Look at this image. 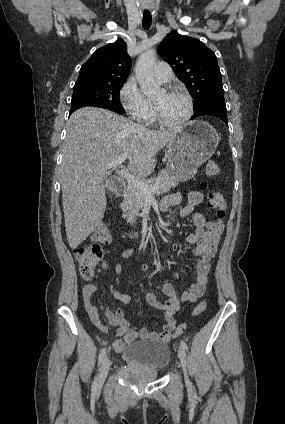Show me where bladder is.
Wrapping results in <instances>:
<instances>
[{
    "mask_svg": "<svg viewBox=\"0 0 285 424\" xmlns=\"http://www.w3.org/2000/svg\"><path fill=\"white\" fill-rule=\"evenodd\" d=\"M122 359L125 365L144 370L155 377L169 365L171 350L169 345L162 341H136L123 349Z\"/></svg>",
    "mask_w": 285,
    "mask_h": 424,
    "instance_id": "31cf9c89",
    "label": "bladder"
}]
</instances>
